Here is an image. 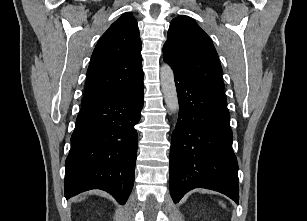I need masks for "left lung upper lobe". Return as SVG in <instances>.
Returning <instances> with one entry per match:
<instances>
[{"label": "left lung upper lobe", "instance_id": "5c2ea615", "mask_svg": "<svg viewBox=\"0 0 307 221\" xmlns=\"http://www.w3.org/2000/svg\"><path fill=\"white\" fill-rule=\"evenodd\" d=\"M163 58L193 83L226 101L222 67L209 36L188 16L174 18Z\"/></svg>", "mask_w": 307, "mask_h": 221}]
</instances>
